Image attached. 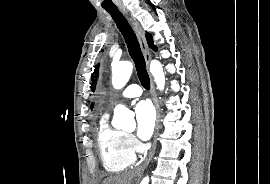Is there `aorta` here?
Returning <instances> with one entry per match:
<instances>
[{"instance_id": "obj_1", "label": "aorta", "mask_w": 270, "mask_h": 184, "mask_svg": "<svg viewBox=\"0 0 270 184\" xmlns=\"http://www.w3.org/2000/svg\"><path fill=\"white\" fill-rule=\"evenodd\" d=\"M133 65L129 61L116 63L112 66V84L114 88L124 87L130 79ZM150 72L152 73L158 89L163 90L165 86V76L161 63L157 60L151 61ZM113 126L117 129L134 130L136 123L134 113L123 105H117L114 109ZM140 184H149V178L145 177Z\"/></svg>"}]
</instances>
